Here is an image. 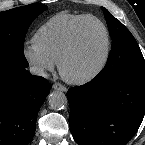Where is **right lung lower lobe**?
<instances>
[{
    "label": "right lung lower lobe",
    "instance_id": "right-lung-lower-lobe-1",
    "mask_svg": "<svg viewBox=\"0 0 145 145\" xmlns=\"http://www.w3.org/2000/svg\"><path fill=\"white\" fill-rule=\"evenodd\" d=\"M49 92V82L26 69L0 75V145L32 141L38 111Z\"/></svg>",
    "mask_w": 145,
    "mask_h": 145
}]
</instances>
